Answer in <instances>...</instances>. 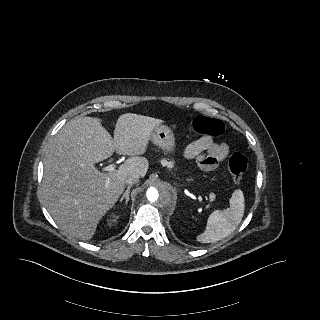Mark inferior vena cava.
Instances as JSON below:
<instances>
[{"label":"inferior vena cava","instance_id":"inferior-vena-cava-1","mask_svg":"<svg viewBox=\"0 0 320 320\" xmlns=\"http://www.w3.org/2000/svg\"><path fill=\"white\" fill-rule=\"evenodd\" d=\"M140 176L138 174H131L125 179L126 184H135L139 181Z\"/></svg>","mask_w":320,"mask_h":320}]
</instances>
